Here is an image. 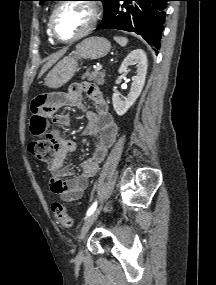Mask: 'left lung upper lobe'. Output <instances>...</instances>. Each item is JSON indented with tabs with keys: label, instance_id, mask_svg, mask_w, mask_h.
<instances>
[{
	"label": "left lung upper lobe",
	"instance_id": "obj_1",
	"mask_svg": "<svg viewBox=\"0 0 216 285\" xmlns=\"http://www.w3.org/2000/svg\"><path fill=\"white\" fill-rule=\"evenodd\" d=\"M38 1H40V4H42L44 1H49V0H38ZM99 1H102L104 5V11L106 12L109 9L113 0H99Z\"/></svg>",
	"mask_w": 216,
	"mask_h": 285
}]
</instances>
